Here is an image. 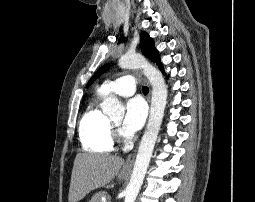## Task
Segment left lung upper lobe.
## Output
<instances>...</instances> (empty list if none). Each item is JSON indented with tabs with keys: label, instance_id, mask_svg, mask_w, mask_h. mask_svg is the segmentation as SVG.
Here are the masks:
<instances>
[{
	"label": "left lung upper lobe",
	"instance_id": "left-lung-upper-lobe-1",
	"mask_svg": "<svg viewBox=\"0 0 255 202\" xmlns=\"http://www.w3.org/2000/svg\"><path fill=\"white\" fill-rule=\"evenodd\" d=\"M141 50L142 53L147 56L150 60L154 61L157 63V65L159 66V68L161 69L162 72L163 71V65L161 64L159 55L157 50L154 47V42L152 40V38L146 33V32H142L141 33ZM109 65L106 64L103 67H101L96 73L95 75L90 79V81L87 84V87H89V85L98 77L100 76L103 72H105L108 69Z\"/></svg>",
	"mask_w": 255,
	"mask_h": 202
}]
</instances>
